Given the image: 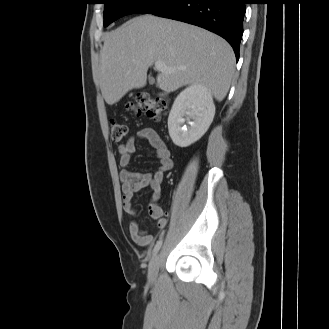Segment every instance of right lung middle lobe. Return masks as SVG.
Returning a JSON list of instances; mask_svg holds the SVG:
<instances>
[{"label": "right lung middle lobe", "mask_w": 329, "mask_h": 329, "mask_svg": "<svg viewBox=\"0 0 329 329\" xmlns=\"http://www.w3.org/2000/svg\"><path fill=\"white\" fill-rule=\"evenodd\" d=\"M172 0H103L104 26H108L120 17L129 14L152 13Z\"/></svg>", "instance_id": "1"}]
</instances>
